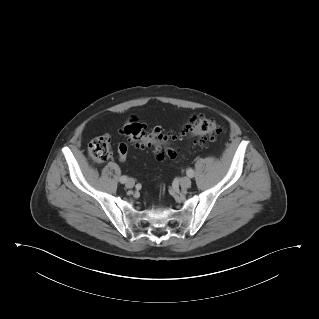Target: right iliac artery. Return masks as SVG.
I'll return each mask as SVG.
<instances>
[{"label":"right iliac artery","mask_w":319,"mask_h":319,"mask_svg":"<svg viewBox=\"0 0 319 319\" xmlns=\"http://www.w3.org/2000/svg\"><path fill=\"white\" fill-rule=\"evenodd\" d=\"M127 179H128L127 176H121L120 182L123 184L127 181Z\"/></svg>","instance_id":"right-iliac-artery-1"}]
</instances>
